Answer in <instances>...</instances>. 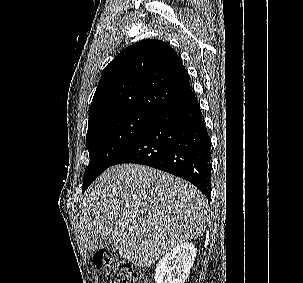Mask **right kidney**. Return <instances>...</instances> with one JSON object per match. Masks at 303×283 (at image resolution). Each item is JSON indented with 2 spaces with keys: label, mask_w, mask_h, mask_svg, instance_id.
<instances>
[{
  "label": "right kidney",
  "mask_w": 303,
  "mask_h": 283,
  "mask_svg": "<svg viewBox=\"0 0 303 283\" xmlns=\"http://www.w3.org/2000/svg\"><path fill=\"white\" fill-rule=\"evenodd\" d=\"M196 256L194 244L186 242L177 245L157 264L156 283H185Z\"/></svg>",
  "instance_id": "right-kidney-1"
}]
</instances>
